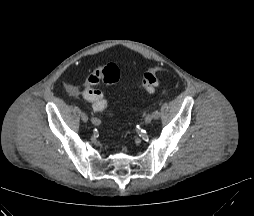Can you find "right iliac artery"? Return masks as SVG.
<instances>
[{"instance_id": "right-iliac-artery-1", "label": "right iliac artery", "mask_w": 254, "mask_h": 216, "mask_svg": "<svg viewBox=\"0 0 254 216\" xmlns=\"http://www.w3.org/2000/svg\"><path fill=\"white\" fill-rule=\"evenodd\" d=\"M91 122H92L94 125H100V124H101V120L98 119L97 117H94V116H91Z\"/></svg>"}]
</instances>
